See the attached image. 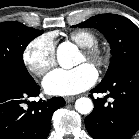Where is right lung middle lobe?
<instances>
[{
	"label": "right lung middle lobe",
	"mask_w": 139,
	"mask_h": 139,
	"mask_svg": "<svg viewBox=\"0 0 139 139\" xmlns=\"http://www.w3.org/2000/svg\"><path fill=\"white\" fill-rule=\"evenodd\" d=\"M43 31L26 27L19 22L0 23V69L20 77L30 78L24 61L26 46Z\"/></svg>",
	"instance_id": "obj_1"
}]
</instances>
